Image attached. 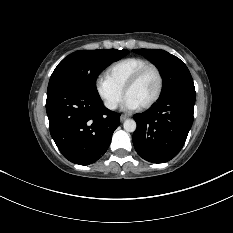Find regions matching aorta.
I'll return each mask as SVG.
<instances>
[{
    "instance_id": "obj_1",
    "label": "aorta",
    "mask_w": 233,
    "mask_h": 233,
    "mask_svg": "<svg viewBox=\"0 0 233 233\" xmlns=\"http://www.w3.org/2000/svg\"><path fill=\"white\" fill-rule=\"evenodd\" d=\"M124 130L127 132H134L137 128V124L133 119H127L123 124Z\"/></svg>"
}]
</instances>
